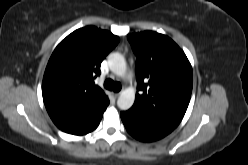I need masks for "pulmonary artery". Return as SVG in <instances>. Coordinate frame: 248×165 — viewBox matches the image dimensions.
<instances>
[{"label":"pulmonary artery","mask_w":248,"mask_h":165,"mask_svg":"<svg viewBox=\"0 0 248 165\" xmlns=\"http://www.w3.org/2000/svg\"><path fill=\"white\" fill-rule=\"evenodd\" d=\"M130 78L132 79V78H133V76H132V75H130Z\"/></svg>","instance_id":"1"}]
</instances>
